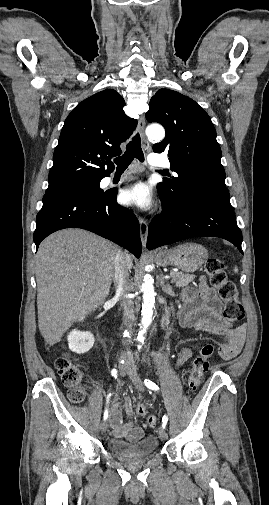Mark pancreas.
Instances as JSON below:
<instances>
[{
	"label": "pancreas",
	"instance_id": "1",
	"mask_svg": "<svg viewBox=\"0 0 269 505\" xmlns=\"http://www.w3.org/2000/svg\"><path fill=\"white\" fill-rule=\"evenodd\" d=\"M172 282H175L177 288L186 287L194 279V275L184 274L181 272L171 273Z\"/></svg>",
	"mask_w": 269,
	"mask_h": 505
}]
</instances>
